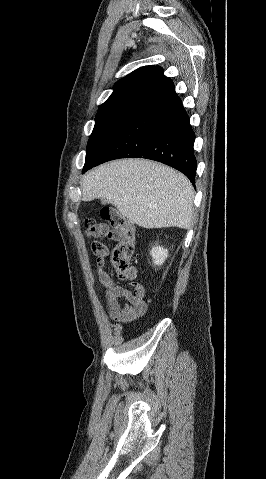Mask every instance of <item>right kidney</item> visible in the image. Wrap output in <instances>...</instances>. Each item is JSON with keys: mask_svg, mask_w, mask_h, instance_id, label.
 <instances>
[{"mask_svg": "<svg viewBox=\"0 0 266 479\" xmlns=\"http://www.w3.org/2000/svg\"><path fill=\"white\" fill-rule=\"evenodd\" d=\"M150 254L153 259V264L161 266L168 257V250L160 246H154L150 251Z\"/></svg>", "mask_w": 266, "mask_h": 479, "instance_id": "1", "label": "right kidney"}]
</instances>
